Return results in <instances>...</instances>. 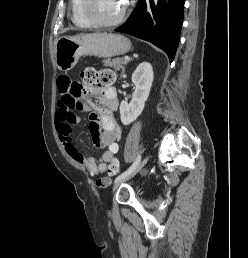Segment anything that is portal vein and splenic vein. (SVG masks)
<instances>
[{"label":"portal vein and splenic vein","mask_w":248,"mask_h":258,"mask_svg":"<svg viewBox=\"0 0 248 258\" xmlns=\"http://www.w3.org/2000/svg\"><path fill=\"white\" fill-rule=\"evenodd\" d=\"M124 60L128 61V60H130V57L129 56H125Z\"/></svg>","instance_id":"obj_1"}]
</instances>
